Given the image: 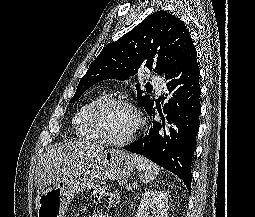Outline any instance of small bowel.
<instances>
[{"mask_svg":"<svg viewBox=\"0 0 255 217\" xmlns=\"http://www.w3.org/2000/svg\"><path fill=\"white\" fill-rule=\"evenodd\" d=\"M88 217H112V216H109V215L103 214V213H96V214H92Z\"/></svg>","mask_w":255,"mask_h":217,"instance_id":"small-bowel-1","label":"small bowel"}]
</instances>
